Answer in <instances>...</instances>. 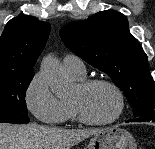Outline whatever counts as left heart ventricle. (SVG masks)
<instances>
[{
	"instance_id": "obj_1",
	"label": "left heart ventricle",
	"mask_w": 155,
	"mask_h": 149,
	"mask_svg": "<svg viewBox=\"0 0 155 149\" xmlns=\"http://www.w3.org/2000/svg\"><path fill=\"white\" fill-rule=\"evenodd\" d=\"M71 101L78 103L89 118L97 121L112 118L118 108L116 94L105 85H96L85 91L77 85Z\"/></svg>"
}]
</instances>
